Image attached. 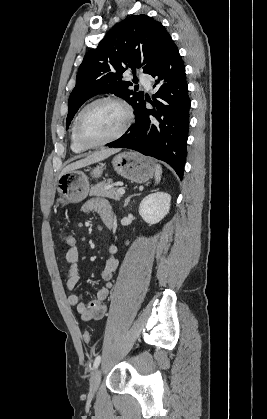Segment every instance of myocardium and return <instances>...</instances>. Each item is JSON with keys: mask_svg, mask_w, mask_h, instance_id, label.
Listing matches in <instances>:
<instances>
[{"mask_svg": "<svg viewBox=\"0 0 267 419\" xmlns=\"http://www.w3.org/2000/svg\"><path fill=\"white\" fill-rule=\"evenodd\" d=\"M101 102H112L115 103L117 105H119L123 112H124V122L122 124V126L119 128V130L113 134L112 136L108 137L105 140H102L100 142H96V143H88L85 140H83V138L80 135V123H81V119L85 113V111L90 108L91 106L97 104V103H101ZM133 118H134V114H133V110L132 107L130 106V104L118 97V96H113V95H106V96H101L98 98L93 99L92 101H90L89 103H87L78 113L76 119H75V124H74V135H75V139L77 140V142L84 148L86 149H92V148H97L100 146H104L106 144H109L113 141H116L117 139H119L120 137H122L126 131L129 129V127L131 126L132 122H133Z\"/></svg>", "mask_w": 267, "mask_h": 419, "instance_id": "1", "label": "myocardium"}]
</instances>
